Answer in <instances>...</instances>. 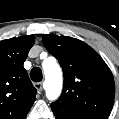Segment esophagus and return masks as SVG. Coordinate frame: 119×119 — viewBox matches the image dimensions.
<instances>
[{
  "label": "esophagus",
  "mask_w": 119,
  "mask_h": 119,
  "mask_svg": "<svg viewBox=\"0 0 119 119\" xmlns=\"http://www.w3.org/2000/svg\"><path fill=\"white\" fill-rule=\"evenodd\" d=\"M34 87L38 90V92H42V83L36 82L34 83Z\"/></svg>",
  "instance_id": "esophagus-1"
}]
</instances>
